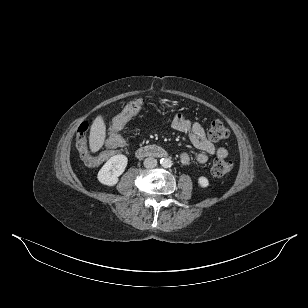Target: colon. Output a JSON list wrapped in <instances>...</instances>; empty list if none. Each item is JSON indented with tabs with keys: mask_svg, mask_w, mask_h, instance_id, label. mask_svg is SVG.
<instances>
[{
	"mask_svg": "<svg viewBox=\"0 0 308 308\" xmlns=\"http://www.w3.org/2000/svg\"><path fill=\"white\" fill-rule=\"evenodd\" d=\"M145 102L142 99H136L129 102L123 110L113 119L112 125L105 130L103 140L110 143L112 148H107L101 154H93L89 150L87 142V131L89 125L87 122H82L76 133V148L79 152L81 159L89 166H96L107 158H112L115 151L118 154L125 152L126 143L124 136L117 134V132L129 121L136 116L144 107ZM209 138L213 141H221L228 137V128L219 120L212 122L209 129ZM233 164L225 158H216L211 167V173L215 177H224L231 172Z\"/></svg>",
	"mask_w": 308,
	"mask_h": 308,
	"instance_id": "obj_1",
	"label": "colon"
}]
</instances>
